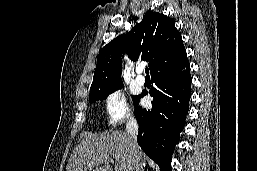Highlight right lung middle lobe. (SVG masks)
I'll list each match as a JSON object with an SVG mask.
<instances>
[{"label": "right lung middle lobe", "instance_id": "right-lung-middle-lobe-1", "mask_svg": "<svg viewBox=\"0 0 257 171\" xmlns=\"http://www.w3.org/2000/svg\"><path fill=\"white\" fill-rule=\"evenodd\" d=\"M123 85H118L112 88H108V89H103V90H98V91H94V92H90L89 95V101L90 103L95 102V101H103L104 99L107 98V96L113 92H115L116 90L120 89ZM138 96H133V101H135L137 99Z\"/></svg>", "mask_w": 257, "mask_h": 171}]
</instances>
